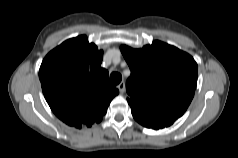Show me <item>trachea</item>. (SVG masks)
<instances>
[{
    "mask_svg": "<svg viewBox=\"0 0 238 158\" xmlns=\"http://www.w3.org/2000/svg\"><path fill=\"white\" fill-rule=\"evenodd\" d=\"M110 80L113 84L117 85L121 82L122 80V75L118 72H113L111 75H110Z\"/></svg>",
    "mask_w": 238,
    "mask_h": 158,
    "instance_id": "obj_1",
    "label": "trachea"
}]
</instances>
